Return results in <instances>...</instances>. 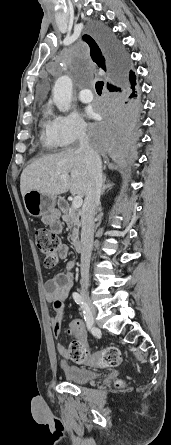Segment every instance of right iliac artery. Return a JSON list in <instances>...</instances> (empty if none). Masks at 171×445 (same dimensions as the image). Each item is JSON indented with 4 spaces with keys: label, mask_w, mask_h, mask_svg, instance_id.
Wrapping results in <instances>:
<instances>
[{
    "label": "right iliac artery",
    "mask_w": 171,
    "mask_h": 445,
    "mask_svg": "<svg viewBox=\"0 0 171 445\" xmlns=\"http://www.w3.org/2000/svg\"><path fill=\"white\" fill-rule=\"evenodd\" d=\"M73 299H74V301L78 305H80V307L82 309V312L84 314V319L86 321L87 328H88V330H91L92 329V325H93V321H92V319H91V317L89 315L88 307H87L83 297L79 293L74 292L73 293Z\"/></svg>",
    "instance_id": "obj_1"
}]
</instances>
